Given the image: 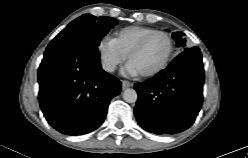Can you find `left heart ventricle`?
<instances>
[{
	"label": "left heart ventricle",
	"mask_w": 248,
	"mask_h": 158,
	"mask_svg": "<svg viewBox=\"0 0 248 158\" xmlns=\"http://www.w3.org/2000/svg\"><path fill=\"white\" fill-rule=\"evenodd\" d=\"M168 49V40L162 35H154L130 61L140 73L148 72L158 67L164 61Z\"/></svg>",
	"instance_id": "left-heart-ventricle-1"
}]
</instances>
